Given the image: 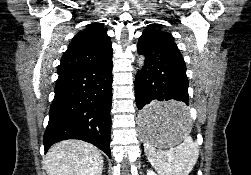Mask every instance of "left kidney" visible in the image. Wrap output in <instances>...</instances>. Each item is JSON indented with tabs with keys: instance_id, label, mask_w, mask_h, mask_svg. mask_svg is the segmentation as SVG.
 Returning <instances> with one entry per match:
<instances>
[{
	"instance_id": "1",
	"label": "left kidney",
	"mask_w": 251,
	"mask_h": 175,
	"mask_svg": "<svg viewBox=\"0 0 251 175\" xmlns=\"http://www.w3.org/2000/svg\"><path fill=\"white\" fill-rule=\"evenodd\" d=\"M147 175H158V173H155V171H152V169H148Z\"/></svg>"
}]
</instances>
